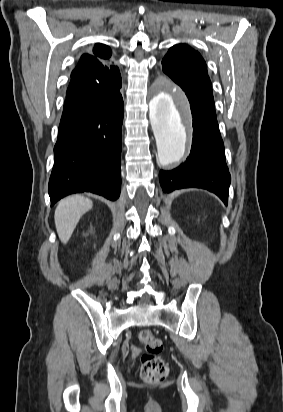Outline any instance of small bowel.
I'll return each instance as SVG.
<instances>
[{
  "instance_id": "1",
  "label": "small bowel",
  "mask_w": 283,
  "mask_h": 412,
  "mask_svg": "<svg viewBox=\"0 0 283 412\" xmlns=\"http://www.w3.org/2000/svg\"><path fill=\"white\" fill-rule=\"evenodd\" d=\"M133 353H134V354H138V353H139V349H138L137 347H134V348H133Z\"/></svg>"
}]
</instances>
